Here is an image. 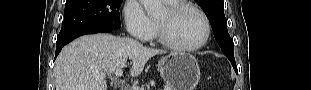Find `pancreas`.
Returning <instances> with one entry per match:
<instances>
[{
	"label": "pancreas",
	"instance_id": "pancreas-1",
	"mask_svg": "<svg viewBox=\"0 0 311 90\" xmlns=\"http://www.w3.org/2000/svg\"><path fill=\"white\" fill-rule=\"evenodd\" d=\"M130 90H134V89L130 88ZM165 90H172V88H169L168 86H166Z\"/></svg>",
	"mask_w": 311,
	"mask_h": 90
}]
</instances>
